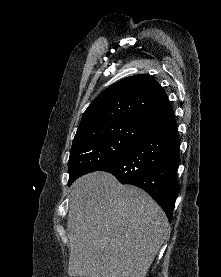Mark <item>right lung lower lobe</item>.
<instances>
[{"label": "right lung lower lobe", "instance_id": "obj_1", "mask_svg": "<svg viewBox=\"0 0 221 277\" xmlns=\"http://www.w3.org/2000/svg\"><path fill=\"white\" fill-rule=\"evenodd\" d=\"M140 134L128 152L100 171L113 174L122 184L145 190L171 222L178 194L179 137L168 103L139 120Z\"/></svg>", "mask_w": 221, "mask_h": 277}]
</instances>
